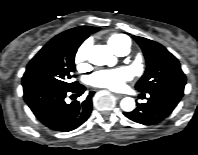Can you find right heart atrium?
<instances>
[{"label": "right heart atrium", "mask_w": 198, "mask_h": 155, "mask_svg": "<svg viewBox=\"0 0 198 155\" xmlns=\"http://www.w3.org/2000/svg\"><path fill=\"white\" fill-rule=\"evenodd\" d=\"M89 43H83L75 54V63L79 69H85L88 61Z\"/></svg>", "instance_id": "right-heart-atrium-1"}]
</instances>
